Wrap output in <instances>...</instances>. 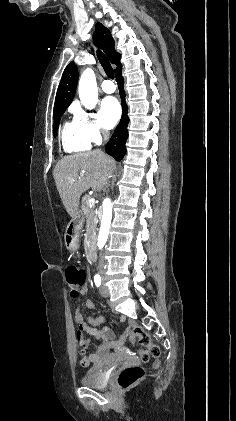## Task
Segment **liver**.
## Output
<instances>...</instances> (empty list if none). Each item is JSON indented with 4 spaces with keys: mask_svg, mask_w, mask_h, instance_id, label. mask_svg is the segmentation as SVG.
<instances>
[{
    "mask_svg": "<svg viewBox=\"0 0 236 421\" xmlns=\"http://www.w3.org/2000/svg\"><path fill=\"white\" fill-rule=\"evenodd\" d=\"M115 168L114 158L98 150L69 154L58 160L53 176L60 198L72 219L78 213L82 192L90 186L93 190H102L108 184ZM80 174L84 176L78 178ZM70 178H74L73 182H70Z\"/></svg>",
    "mask_w": 236,
    "mask_h": 421,
    "instance_id": "obj_1",
    "label": "liver"
}]
</instances>
